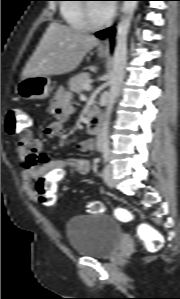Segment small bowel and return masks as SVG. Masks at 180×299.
Instances as JSON below:
<instances>
[{
	"mask_svg": "<svg viewBox=\"0 0 180 299\" xmlns=\"http://www.w3.org/2000/svg\"><path fill=\"white\" fill-rule=\"evenodd\" d=\"M51 117L44 128V135L48 138L57 136L65 121L74 113V108L69 102V96L64 90H59L52 102L47 107ZM79 149L92 151L94 141L85 139L80 142ZM43 144L34 138L32 132L25 129L21 132L16 147V156L21 169L22 188L26 196L32 200L38 197L37 188L45 182L62 180L70 171L84 175L91 169V162L87 158L59 159L50 158L43 154ZM36 181V185H34Z\"/></svg>",
	"mask_w": 180,
	"mask_h": 299,
	"instance_id": "c3829d8e",
	"label": "small bowel"
}]
</instances>
